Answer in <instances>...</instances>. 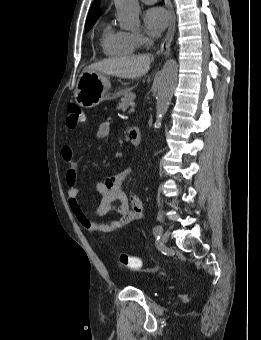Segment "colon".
Wrapping results in <instances>:
<instances>
[{"label": "colon", "mask_w": 261, "mask_h": 340, "mask_svg": "<svg viewBox=\"0 0 261 340\" xmlns=\"http://www.w3.org/2000/svg\"><path fill=\"white\" fill-rule=\"evenodd\" d=\"M85 121V115L81 108L76 104H71L67 108V126L71 129L78 127ZM121 264L130 270H136L141 267V259L137 256L128 254H120L119 256Z\"/></svg>", "instance_id": "colon-1"}]
</instances>
